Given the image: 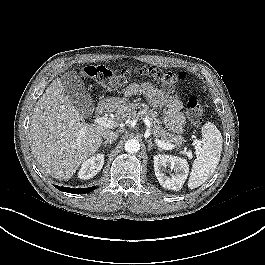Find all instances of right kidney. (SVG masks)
Here are the masks:
<instances>
[{"label": "right kidney", "instance_id": "ca27d5eb", "mask_svg": "<svg viewBox=\"0 0 265 265\" xmlns=\"http://www.w3.org/2000/svg\"><path fill=\"white\" fill-rule=\"evenodd\" d=\"M103 165H104V155L96 154L88 158L82 164L81 169L78 172V177L84 180L93 178L102 169Z\"/></svg>", "mask_w": 265, "mask_h": 265}]
</instances>
